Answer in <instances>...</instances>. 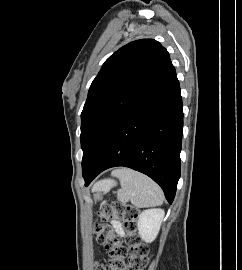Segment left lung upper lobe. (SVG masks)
Masks as SVG:
<instances>
[{
	"mask_svg": "<svg viewBox=\"0 0 242 270\" xmlns=\"http://www.w3.org/2000/svg\"><path fill=\"white\" fill-rule=\"evenodd\" d=\"M172 67L167 50L153 39L133 41L104 62L81 113L82 172L90 167L117 124Z\"/></svg>",
	"mask_w": 242,
	"mask_h": 270,
	"instance_id": "obj_1",
	"label": "left lung upper lobe"
}]
</instances>
